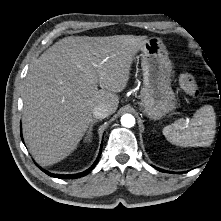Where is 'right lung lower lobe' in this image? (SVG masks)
<instances>
[{
    "label": "right lung lower lobe",
    "mask_w": 221,
    "mask_h": 221,
    "mask_svg": "<svg viewBox=\"0 0 221 221\" xmlns=\"http://www.w3.org/2000/svg\"><path fill=\"white\" fill-rule=\"evenodd\" d=\"M101 154V152H100ZM98 161V158L96 160V162L89 168L87 169L86 171L82 172V173H79V174H74V175H58V174H51L43 169H41L42 171H44L46 174H48L49 176H52V177H55V178H60V179H75V178H79V177H82V176H85L87 175L93 168L94 166L96 165Z\"/></svg>",
    "instance_id": "1"
}]
</instances>
